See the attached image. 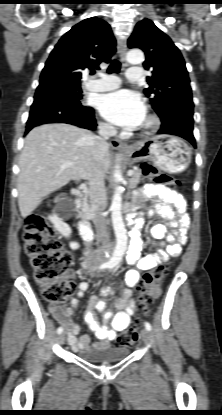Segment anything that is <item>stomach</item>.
<instances>
[{
	"label": "stomach",
	"mask_w": 222,
	"mask_h": 415,
	"mask_svg": "<svg viewBox=\"0 0 222 415\" xmlns=\"http://www.w3.org/2000/svg\"><path fill=\"white\" fill-rule=\"evenodd\" d=\"M129 156L137 162L152 161L163 171L180 173L191 162V149L179 137L160 135L135 144Z\"/></svg>",
	"instance_id": "stomach-1"
}]
</instances>
